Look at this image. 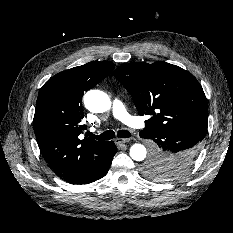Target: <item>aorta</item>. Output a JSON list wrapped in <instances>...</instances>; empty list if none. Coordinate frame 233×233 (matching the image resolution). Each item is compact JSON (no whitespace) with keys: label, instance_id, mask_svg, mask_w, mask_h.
<instances>
[{"label":"aorta","instance_id":"aorta-1","mask_svg":"<svg viewBox=\"0 0 233 233\" xmlns=\"http://www.w3.org/2000/svg\"><path fill=\"white\" fill-rule=\"evenodd\" d=\"M85 107L93 113H103L110 109V97L100 90H90L84 95ZM144 145L136 143L130 148V156L135 161H143L146 158Z\"/></svg>","mask_w":233,"mask_h":233}]
</instances>
